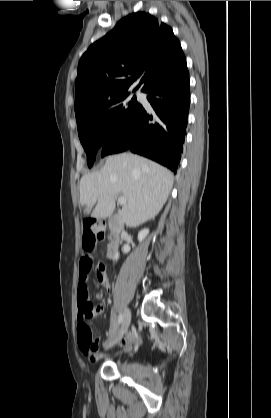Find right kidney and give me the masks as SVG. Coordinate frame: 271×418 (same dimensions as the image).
Wrapping results in <instances>:
<instances>
[{
  "label": "right kidney",
  "mask_w": 271,
  "mask_h": 418,
  "mask_svg": "<svg viewBox=\"0 0 271 418\" xmlns=\"http://www.w3.org/2000/svg\"><path fill=\"white\" fill-rule=\"evenodd\" d=\"M148 233H149V229H143V230H141L138 233V240H139V242H142L145 239V237L148 235ZM118 258H119V253H116L115 260H118Z\"/></svg>",
  "instance_id": "right-kidney-1"
}]
</instances>
